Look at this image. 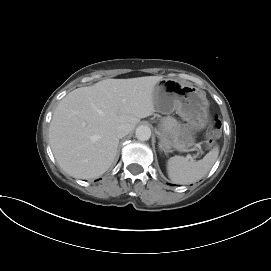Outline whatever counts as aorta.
I'll return each mask as SVG.
<instances>
[{
    "instance_id": "aorta-1",
    "label": "aorta",
    "mask_w": 271,
    "mask_h": 271,
    "mask_svg": "<svg viewBox=\"0 0 271 271\" xmlns=\"http://www.w3.org/2000/svg\"><path fill=\"white\" fill-rule=\"evenodd\" d=\"M135 133L136 138L140 141H147L151 137V129L146 125L138 126Z\"/></svg>"
}]
</instances>
